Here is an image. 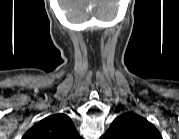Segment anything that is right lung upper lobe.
<instances>
[{"instance_id": "cb5924a9", "label": "right lung upper lobe", "mask_w": 179, "mask_h": 139, "mask_svg": "<svg viewBox=\"0 0 179 139\" xmlns=\"http://www.w3.org/2000/svg\"><path fill=\"white\" fill-rule=\"evenodd\" d=\"M24 139H80L72 120L65 114L50 115L33 127Z\"/></svg>"}]
</instances>
